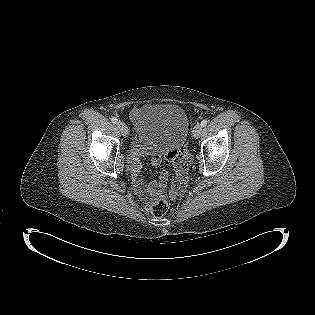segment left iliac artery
Wrapping results in <instances>:
<instances>
[{"instance_id":"left-iliac-artery-1","label":"left iliac artery","mask_w":315,"mask_h":315,"mask_svg":"<svg viewBox=\"0 0 315 315\" xmlns=\"http://www.w3.org/2000/svg\"><path fill=\"white\" fill-rule=\"evenodd\" d=\"M207 123H208V121H207L206 119H204V120H202V122H201V126L204 127V126L207 125Z\"/></svg>"}]
</instances>
